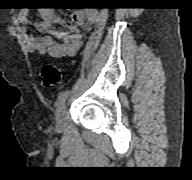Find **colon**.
Masks as SVG:
<instances>
[{
  "mask_svg": "<svg viewBox=\"0 0 192 180\" xmlns=\"http://www.w3.org/2000/svg\"><path fill=\"white\" fill-rule=\"evenodd\" d=\"M44 85L54 86L61 81V70L52 64L45 65L41 70Z\"/></svg>",
  "mask_w": 192,
  "mask_h": 180,
  "instance_id": "obj_1",
  "label": "colon"
}]
</instances>
